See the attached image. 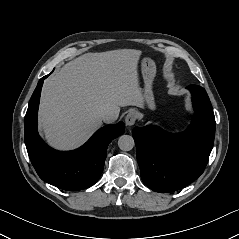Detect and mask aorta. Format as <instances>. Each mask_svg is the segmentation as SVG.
Wrapping results in <instances>:
<instances>
[{
  "label": "aorta",
  "instance_id": "aorta-1",
  "mask_svg": "<svg viewBox=\"0 0 239 239\" xmlns=\"http://www.w3.org/2000/svg\"><path fill=\"white\" fill-rule=\"evenodd\" d=\"M118 146L122 151H130L135 146V142L132 136L122 135L118 139Z\"/></svg>",
  "mask_w": 239,
  "mask_h": 239
}]
</instances>
